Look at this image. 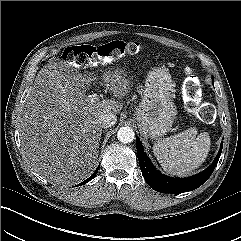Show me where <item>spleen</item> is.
Wrapping results in <instances>:
<instances>
[{
    "label": "spleen",
    "instance_id": "1",
    "mask_svg": "<svg viewBox=\"0 0 241 241\" xmlns=\"http://www.w3.org/2000/svg\"><path fill=\"white\" fill-rule=\"evenodd\" d=\"M210 145L207 132L197 135V130L190 128L159 140L153 152L165 172L185 176L206 160Z\"/></svg>",
    "mask_w": 241,
    "mask_h": 241
}]
</instances>
